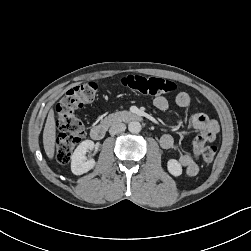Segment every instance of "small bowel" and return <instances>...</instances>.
Masks as SVG:
<instances>
[{
    "instance_id": "1",
    "label": "small bowel",
    "mask_w": 251,
    "mask_h": 251,
    "mask_svg": "<svg viewBox=\"0 0 251 251\" xmlns=\"http://www.w3.org/2000/svg\"><path fill=\"white\" fill-rule=\"evenodd\" d=\"M176 105L180 108H187L190 105V96L186 92H180L175 98ZM153 105L160 111L169 110V101L163 97L158 96L153 100ZM191 126L199 131L198 136L193 142V153H180L177 157L178 162L185 169L188 176H195L199 171L198 159L201 155L202 149L206 143L213 142L216 139L219 131L218 123L210 119L204 113H194L190 117ZM160 145L165 150L174 148L175 142L171 135H163L160 139Z\"/></svg>"
}]
</instances>
